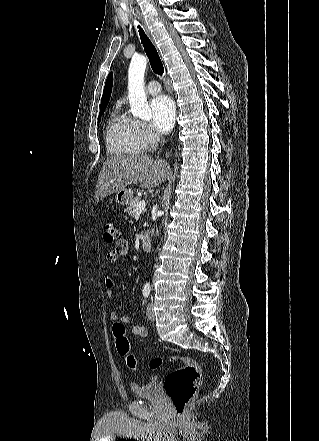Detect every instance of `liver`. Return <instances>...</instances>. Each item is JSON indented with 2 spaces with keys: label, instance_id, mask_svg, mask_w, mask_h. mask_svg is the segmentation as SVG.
I'll use <instances>...</instances> for the list:
<instances>
[{
  "label": "liver",
  "instance_id": "6515ba94",
  "mask_svg": "<svg viewBox=\"0 0 319 441\" xmlns=\"http://www.w3.org/2000/svg\"><path fill=\"white\" fill-rule=\"evenodd\" d=\"M170 167L165 160L154 161L150 155H117L109 157L100 171L95 189V201L141 183L151 188L164 181Z\"/></svg>",
  "mask_w": 319,
  "mask_h": 441
}]
</instances>
